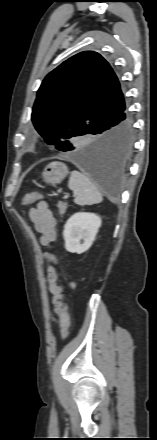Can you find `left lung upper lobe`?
<instances>
[{
    "instance_id": "obj_1",
    "label": "left lung upper lobe",
    "mask_w": 157,
    "mask_h": 440,
    "mask_svg": "<svg viewBox=\"0 0 157 440\" xmlns=\"http://www.w3.org/2000/svg\"><path fill=\"white\" fill-rule=\"evenodd\" d=\"M124 104L109 63L96 52L84 51L45 77L31 119L46 143L62 151L76 137L92 135Z\"/></svg>"
}]
</instances>
